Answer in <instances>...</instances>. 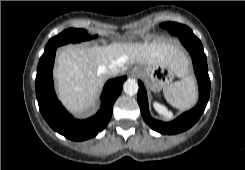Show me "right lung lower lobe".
<instances>
[{"label":"right lung lower lobe","instance_id":"1","mask_svg":"<svg viewBox=\"0 0 245 170\" xmlns=\"http://www.w3.org/2000/svg\"><path fill=\"white\" fill-rule=\"evenodd\" d=\"M56 49L40 58L36 76V97L40 112L46 122L58 133L74 141L95 137L108 124L113 104L122 90L126 76L109 80L101 96V108L97 114L86 120H77L69 115L58 101L53 87L52 70Z\"/></svg>","mask_w":245,"mask_h":170}]
</instances>
